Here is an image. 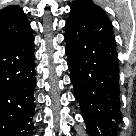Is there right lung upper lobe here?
Wrapping results in <instances>:
<instances>
[{"label":"right lung upper lobe","mask_w":136,"mask_h":136,"mask_svg":"<svg viewBox=\"0 0 136 136\" xmlns=\"http://www.w3.org/2000/svg\"><path fill=\"white\" fill-rule=\"evenodd\" d=\"M30 23L19 6L10 5L0 10V45L20 41L30 33Z\"/></svg>","instance_id":"obj_1"}]
</instances>
